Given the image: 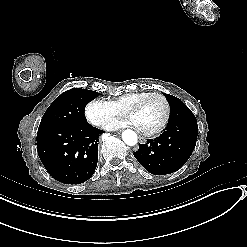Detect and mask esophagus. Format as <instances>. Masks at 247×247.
Listing matches in <instances>:
<instances>
[{
    "mask_svg": "<svg viewBox=\"0 0 247 247\" xmlns=\"http://www.w3.org/2000/svg\"><path fill=\"white\" fill-rule=\"evenodd\" d=\"M139 141L140 143L145 144L147 140L144 137L139 136Z\"/></svg>",
    "mask_w": 247,
    "mask_h": 247,
    "instance_id": "34e87169",
    "label": "esophagus"
}]
</instances>
